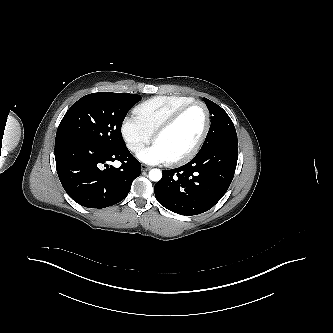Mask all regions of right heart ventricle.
I'll list each match as a JSON object with an SVG mask.
<instances>
[{
	"instance_id": "right-heart-ventricle-1",
	"label": "right heart ventricle",
	"mask_w": 333,
	"mask_h": 333,
	"mask_svg": "<svg viewBox=\"0 0 333 333\" xmlns=\"http://www.w3.org/2000/svg\"><path fill=\"white\" fill-rule=\"evenodd\" d=\"M194 101L187 96H156L139 104L135 116L152 133L177 109Z\"/></svg>"
}]
</instances>
